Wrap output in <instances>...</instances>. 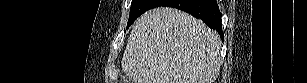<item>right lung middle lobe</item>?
Here are the masks:
<instances>
[{
    "label": "right lung middle lobe",
    "mask_w": 307,
    "mask_h": 83,
    "mask_svg": "<svg viewBox=\"0 0 307 83\" xmlns=\"http://www.w3.org/2000/svg\"><path fill=\"white\" fill-rule=\"evenodd\" d=\"M153 0H132L128 27L145 11L150 9Z\"/></svg>",
    "instance_id": "1"
}]
</instances>
